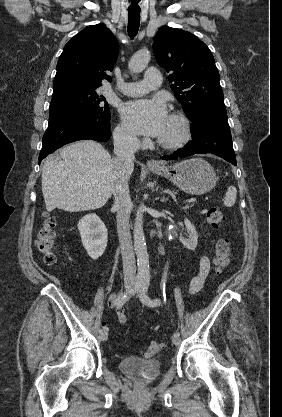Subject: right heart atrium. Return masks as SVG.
Instances as JSON below:
<instances>
[{"label":"right heart atrium","mask_w":282,"mask_h":417,"mask_svg":"<svg viewBox=\"0 0 282 417\" xmlns=\"http://www.w3.org/2000/svg\"><path fill=\"white\" fill-rule=\"evenodd\" d=\"M114 136L116 144L119 147L125 148L130 151L136 150L138 146V141L136 137L125 127L118 126L115 130Z\"/></svg>","instance_id":"right-heart-atrium-1"}]
</instances>
